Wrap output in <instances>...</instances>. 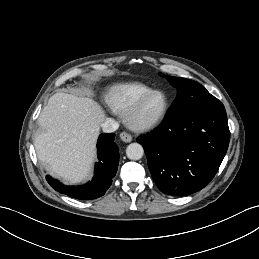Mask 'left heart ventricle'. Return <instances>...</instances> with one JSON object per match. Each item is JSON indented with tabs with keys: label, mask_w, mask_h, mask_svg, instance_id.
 <instances>
[{
	"label": "left heart ventricle",
	"mask_w": 259,
	"mask_h": 259,
	"mask_svg": "<svg viewBox=\"0 0 259 259\" xmlns=\"http://www.w3.org/2000/svg\"><path fill=\"white\" fill-rule=\"evenodd\" d=\"M165 107V97L161 93L153 94L141 108L138 119L140 121H151L157 118Z\"/></svg>",
	"instance_id": "1"
}]
</instances>
